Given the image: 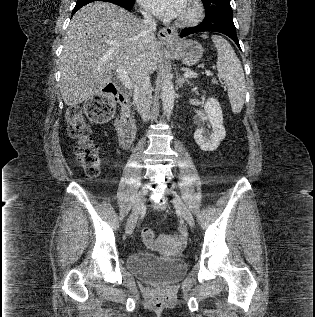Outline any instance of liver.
Wrapping results in <instances>:
<instances>
[{"mask_svg": "<svg viewBox=\"0 0 315 317\" xmlns=\"http://www.w3.org/2000/svg\"><path fill=\"white\" fill-rule=\"evenodd\" d=\"M161 46L144 35L142 20L107 2H93L72 17L63 38L60 92L68 106L99 94L112 71L124 66L132 81L157 69Z\"/></svg>", "mask_w": 315, "mask_h": 317, "instance_id": "1", "label": "liver"}]
</instances>
